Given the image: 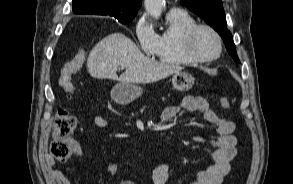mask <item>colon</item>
I'll list each match as a JSON object with an SVG mask.
<instances>
[{"instance_id":"1","label":"colon","mask_w":293,"mask_h":184,"mask_svg":"<svg viewBox=\"0 0 293 184\" xmlns=\"http://www.w3.org/2000/svg\"><path fill=\"white\" fill-rule=\"evenodd\" d=\"M86 55V51L82 50L64 65L60 84L67 93L72 91L71 76L81 69ZM219 104L225 110L231 107V103L226 97H220ZM76 127L77 121L71 111L66 107H60L56 111L52 128L53 141L49 152L52 161L65 162L70 158L73 151L71 136L75 132Z\"/></svg>"}]
</instances>
